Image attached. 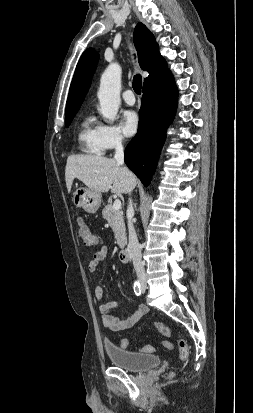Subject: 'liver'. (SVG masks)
<instances>
[{
	"instance_id": "1",
	"label": "liver",
	"mask_w": 253,
	"mask_h": 413,
	"mask_svg": "<svg viewBox=\"0 0 253 413\" xmlns=\"http://www.w3.org/2000/svg\"><path fill=\"white\" fill-rule=\"evenodd\" d=\"M75 178L100 193L109 190L114 194L128 193L137 184L135 175L128 168L122 167L114 159L99 155L69 156L65 168L68 192Z\"/></svg>"
}]
</instances>
